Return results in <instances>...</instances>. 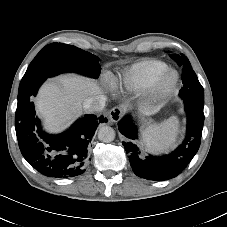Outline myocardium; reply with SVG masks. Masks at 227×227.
<instances>
[{
	"instance_id": "myocardium-1",
	"label": "myocardium",
	"mask_w": 227,
	"mask_h": 227,
	"mask_svg": "<svg viewBox=\"0 0 227 227\" xmlns=\"http://www.w3.org/2000/svg\"><path fill=\"white\" fill-rule=\"evenodd\" d=\"M179 74L174 69H166L149 87V95L154 99H163L175 89Z\"/></svg>"
}]
</instances>
